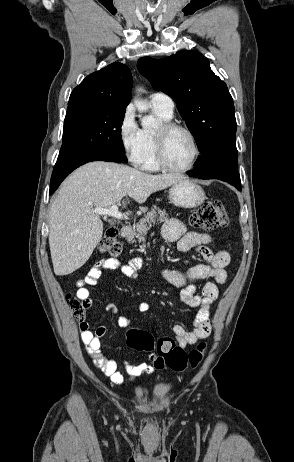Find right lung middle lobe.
I'll return each mask as SVG.
<instances>
[{"mask_svg":"<svg viewBox=\"0 0 294 462\" xmlns=\"http://www.w3.org/2000/svg\"><path fill=\"white\" fill-rule=\"evenodd\" d=\"M125 107L74 105L67 108L58 160L92 153H124L121 126Z\"/></svg>","mask_w":294,"mask_h":462,"instance_id":"right-lung-middle-lobe-1","label":"right lung middle lobe"}]
</instances>
